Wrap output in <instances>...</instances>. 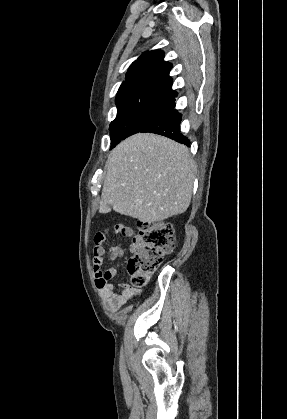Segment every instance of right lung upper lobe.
<instances>
[{
	"label": "right lung upper lobe",
	"instance_id": "obj_1",
	"mask_svg": "<svg viewBox=\"0 0 287 419\" xmlns=\"http://www.w3.org/2000/svg\"><path fill=\"white\" fill-rule=\"evenodd\" d=\"M163 56L160 50L147 51L131 64L116 96L118 112L138 106L175 105L177 93L169 76L172 64Z\"/></svg>",
	"mask_w": 287,
	"mask_h": 419
}]
</instances>
